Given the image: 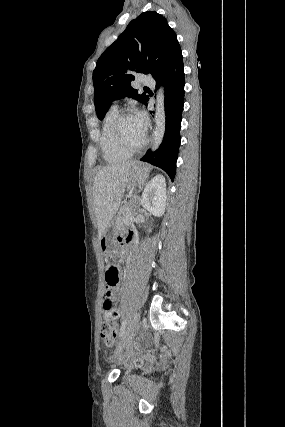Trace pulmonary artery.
Wrapping results in <instances>:
<instances>
[{"label": "pulmonary artery", "mask_w": 285, "mask_h": 427, "mask_svg": "<svg viewBox=\"0 0 285 427\" xmlns=\"http://www.w3.org/2000/svg\"><path fill=\"white\" fill-rule=\"evenodd\" d=\"M141 83L143 85H146V86H151V85H154V79L152 77H149V76H144L141 79Z\"/></svg>", "instance_id": "e3ab8cb5"}]
</instances>
